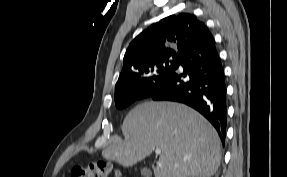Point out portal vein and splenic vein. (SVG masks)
I'll return each instance as SVG.
<instances>
[{
	"label": "portal vein and splenic vein",
	"instance_id": "1",
	"mask_svg": "<svg viewBox=\"0 0 287 177\" xmlns=\"http://www.w3.org/2000/svg\"><path fill=\"white\" fill-rule=\"evenodd\" d=\"M155 153H156L157 155H159V154L161 153V150H160V149H156V150H155Z\"/></svg>",
	"mask_w": 287,
	"mask_h": 177
}]
</instances>
